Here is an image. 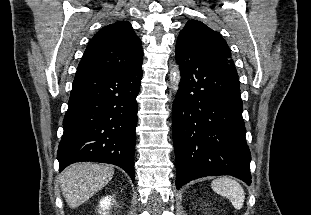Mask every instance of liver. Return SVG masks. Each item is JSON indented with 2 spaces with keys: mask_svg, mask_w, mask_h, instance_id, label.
Returning <instances> with one entry per match:
<instances>
[{
  "mask_svg": "<svg viewBox=\"0 0 311 215\" xmlns=\"http://www.w3.org/2000/svg\"><path fill=\"white\" fill-rule=\"evenodd\" d=\"M111 166L91 162L72 164L61 177L63 196L70 208H77L101 190L112 179Z\"/></svg>",
  "mask_w": 311,
  "mask_h": 215,
  "instance_id": "6515ba94",
  "label": "liver"
}]
</instances>
